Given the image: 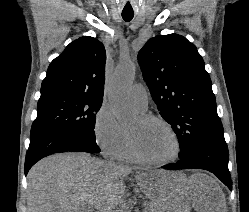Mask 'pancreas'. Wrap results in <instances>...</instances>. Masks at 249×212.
<instances>
[{
    "mask_svg": "<svg viewBox=\"0 0 249 212\" xmlns=\"http://www.w3.org/2000/svg\"><path fill=\"white\" fill-rule=\"evenodd\" d=\"M144 212H159L158 206H155V204H150V206L144 208Z\"/></svg>",
    "mask_w": 249,
    "mask_h": 212,
    "instance_id": "obj_1",
    "label": "pancreas"
}]
</instances>
